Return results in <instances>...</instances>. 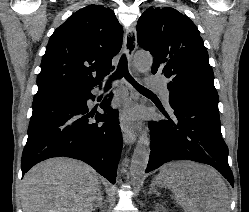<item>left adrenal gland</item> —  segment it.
<instances>
[{"mask_svg": "<svg viewBox=\"0 0 249 212\" xmlns=\"http://www.w3.org/2000/svg\"><path fill=\"white\" fill-rule=\"evenodd\" d=\"M154 192H155V190H154L153 184H152V186H151V188H150L148 194H154Z\"/></svg>", "mask_w": 249, "mask_h": 212, "instance_id": "a2214340", "label": "left adrenal gland"}]
</instances>
